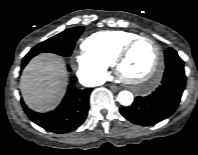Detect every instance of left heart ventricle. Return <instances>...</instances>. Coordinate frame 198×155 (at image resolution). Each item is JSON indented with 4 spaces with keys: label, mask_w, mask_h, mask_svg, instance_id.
I'll return each mask as SVG.
<instances>
[{
    "label": "left heart ventricle",
    "mask_w": 198,
    "mask_h": 155,
    "mask_svg": "<svg viewBox=\"0 0 198 155\" xmlns=\"http://www.w3.org/2000/svg\"><path fill=\"white\" fill-rule=\"evenodd\" d=\"M155 60L154 45L149 41H140L122 62V74L133 81H143L149 76Z\"/></svg>",
    "instance_id": "obj_1"
}]
</instances>
